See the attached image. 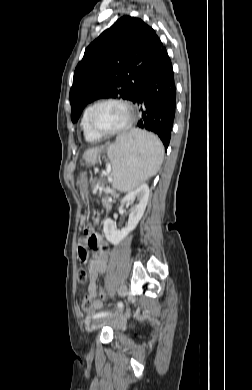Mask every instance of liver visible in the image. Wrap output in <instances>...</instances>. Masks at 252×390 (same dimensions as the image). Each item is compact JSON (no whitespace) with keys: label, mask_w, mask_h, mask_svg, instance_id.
I'll return each mask as SVG.
<instances>
[{"label":"liver","mask_w":252,"mask_h":390,"mask_svg":"<svg viewBox=\"0 0 252 390\" xmlns=\"http://www.w3.org/2000/svg\"><path fill=\"white\" fill-rule=\"evenodd\" d=\"M113 146H115V145H111L110 147H113ZM110 147H109V149H110ZM90 151H99V149H92Z\"/></svg>","instance_id":"liver-1"}]
</instances>
